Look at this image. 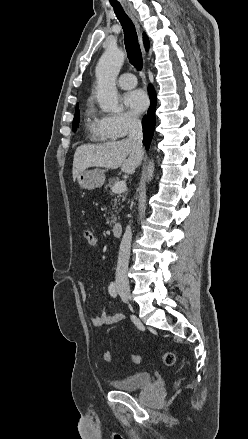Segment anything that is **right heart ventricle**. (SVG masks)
Segmentation results:
<instances>
[{
  "label": "right heart ventricle",
  "instance_id": "obj_1",
  "mask_svg": "<svg viewBox=\"0 0 248 439\" xmlns=\"http://www.w3.org/2000/svg\"><path fill=\"white\" fill-rule=\"evenodd\" d=\"M84 123L88 133L93 139L112 141L116 138L106 131L103 126L102 118L98 116L90 100L84 111Z\"/></svg>",
  "mask_w": 248,
  "mask_h": 439
}]
</instances>
